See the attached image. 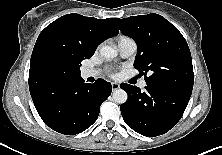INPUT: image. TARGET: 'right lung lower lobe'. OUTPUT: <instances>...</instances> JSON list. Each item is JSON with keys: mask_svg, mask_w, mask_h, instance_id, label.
Here are the masks:
<instances>
[{"mask_svg": "<svg viewBox=\"0 0 222 155\" xmlns=\"http://www.w3.org/2000/svg\"><path fill=\"white\" fill-rule=\"evenodd\" d=\"M111 91V84L103 79L89 84L78 76L61 78L51 89L31 96L47 126L65 135H75L97 120L100 106Z\"/></svg>", "mask_w": 222, "mask_h": 155, "instance_id": "right-lung-lower-lobe-1", "label": "right lung lower lobe"}]
</instances>
